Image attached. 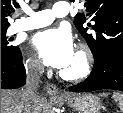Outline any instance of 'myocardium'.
I'll use <instances>...</instances> for the list:
<instances>
[{
  "instance_id": "f54148a6",
  "label": "myocardium",
  "mask_w": 123,
  "mask_h": 113,
  "mask_svg": "<svg viewBox=\"0 0 123 113\" xmlns=\"http://www.w3.org/2000/svg\"><path fill=\"white\" fill-rule=\"evenodd\" d=\"M75 57L79 62L78 68L71 72L61 70L59 73L60 77L66 81H79L85 79L92 71L93 55L87 46L81 45Z\"/></svg>"
}]
</instances>
